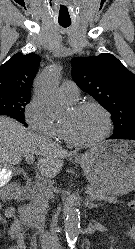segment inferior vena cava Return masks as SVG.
<instances>
[{"instance_id":"1","label":"inferior vena cava","mask_w":135,"mask_h":249,"mask_svg":"<svg viewBox=\"0 0 135 249\" xmlns=\"http://www.w3.org/2000/svg\"><path fill=\"white\" fill-rule=\"evenodd\" d=\"M47 246H48V249H61L58 238L55 234L54 224L51 225V230L48 234Z\"/></svg>"}]
</instances>
